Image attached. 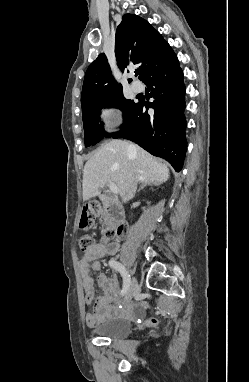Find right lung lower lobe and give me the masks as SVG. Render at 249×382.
Listing matches in <instances>:
<instances>
[{"label": "right lung lower lobe", "mask_w": 249, "mask_h": 382, "mask_svg": "<svg viewBox=\"0 0 249 382\" xmlns=\"http://www.w3.org/2000/svg\"><path fill=\"white\" fill-rule=\"evenodd\" d=\"M144 82L151 88L154 101L139 98L123 128L109 137L130 139L152 155L169 161L179 172L187 145L183 116L185 86L176 55L173 53L151 67ZM149 108L154 109L153 114L148 113Z\"/></svg>", "instance_id": "98d812e1"}]
</instances>
